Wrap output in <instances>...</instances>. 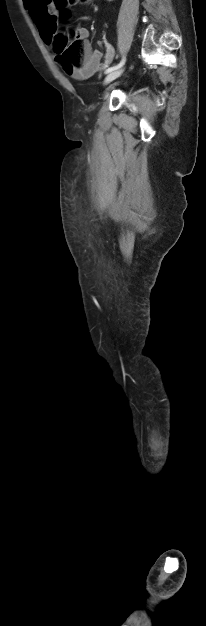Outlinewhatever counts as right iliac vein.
<instances>
[{"label":"right iliac vein","mask_w":206,"mask_h":626,"mask_svg":"<svg viewBox=\"0 0 206 626\" xmlns=\"http://www.w3.org/2000/svg\"><path fill=\"white\" fill-rule=\"evenodd\" d=\"M123 72V69L120 70H116L113 71L111 73H109L104 80V84H109L110 82H112L113 80H115L116 78H118Z\"/></svg>","instance_id":"1"}]
</instances>
